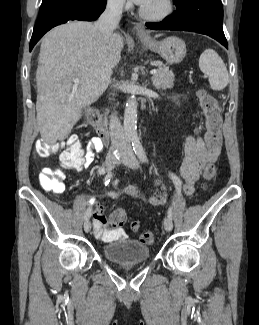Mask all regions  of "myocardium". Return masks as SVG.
<instances>
[{
	"label": "myocardium",
	"mask_w": 259,
	"mask_h": 325,
	"mask_svg": "<svg viewBox=\"0 0 259 325\" xmlns=\"http://www.w3.org/2000/svg\"><path fill=\"white\" fill-rule=\"evenodd\" d=\"M174 11L173 0H161V8L158 11H149L145 6L140 9L143 18L150 21H162L168 18Z\"/></svg>",
	"instance_id": "f54148a6"
}]
</instances>
